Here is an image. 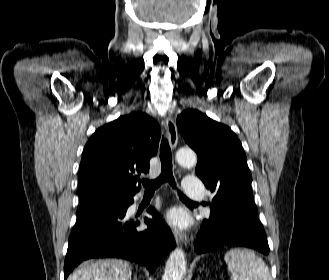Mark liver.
<instances>
[{
    "label": "liver",
    "mask_w": 329,
    "mask_h": 280,
    "mask_svg": "<svg viewBox=\"0 0 329 280\" xmlns=\"http://www.w3.org/2000/svg\"><path fill=\"white\" fill-rule=\"evenodd\" d=\"M130 264L119 259L88 261L75 270L67 280H130Z\"/></svg>",
    "instance_id": "1"
}]
</instances>
